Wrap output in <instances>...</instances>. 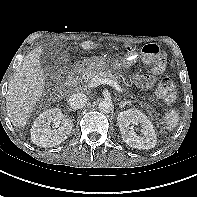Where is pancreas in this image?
I'll return each instance as SVG.
<instances>
[{
    "label": "pancreas",
    "instance_id": "1",
    "mask_svg": "<svg viewBox=\"0 0 197 197\" xmlns=\"http://www.w3.org/2000/svg\"><path fill=\"white\" fill-rule=\"evenodd\" d=\"M108 78L113 81L118 82L121 79V76L118 74H113L110 70H87L81 77V81L86 83L88 86L90 85L93 78Z\"/></svg>",
    "mask_w": 197,
    "mask_h": 197
}]
</instances>
